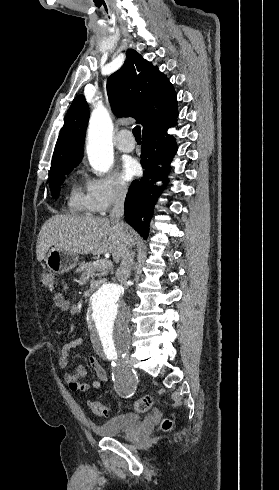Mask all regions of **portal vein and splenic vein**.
<instances>
[{
  "label": "portal vein and splenic vein",
  "instance_id": "portal-vein-and-splenic-vein-1",
  "mask_svg": "<svg viewBox=\"0 0 279 490\" xmlns=\"http://www.w3.org/2000/svg\"><path fill=\"white\" fill-rule=\"evenodd\" d=\"M105 262H107V260H100V262L98 260V262H95V264H96V266H99V264H103V266H104ZM108 264H109V262H108Z\"/></svg>",
  "mask_w": 279,
  "mask_h": 490
}]
</instances>
